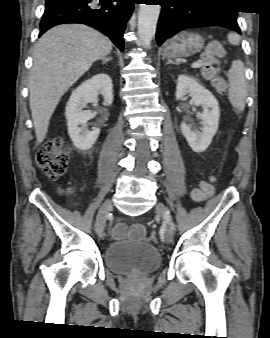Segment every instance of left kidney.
Masks as SVG:
<instances>
[{"mask_svg":"<svg viewBox=\"0 0 270 338\" xmlns=\"http://www.w3.org/2000/svg\"><path fill=\"white\" fill-rule=\"evenodd\" d=\"M188 94L196 105L203 107L200 114L202 131H193L189 125L182 122L181 131L191 149L196 153L205 151L217 132L220 117L219 104L214 95L200 85L194 78L179 75L176 86V98L179 100Z\"/></svg>","mask_w":270,"mask_h":338,"instance_id":"obj_1","label":"left kidney"}]
</instances>
